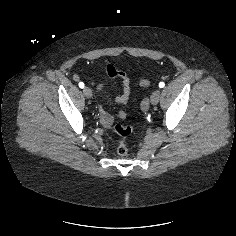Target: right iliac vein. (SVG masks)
<instances>
[{
    "label": "right iliac vein",
    "instance_id": "63e3f726",
    "mask_svg": "<svg viewBox=\"0 0 236 236\" xmlns=\"http://www.w3.org/2000/svg\"><path fill=\"white\" fill-rule=\"evenodd\" d=\"M83 93H84L85 97L88 99L92 97V91L88 87L83 88Z\"/></svg>",
    "mask_w": 236,
    "mask_h": 236
}]
</instances>
